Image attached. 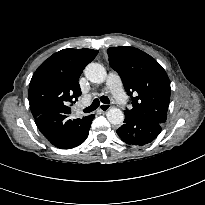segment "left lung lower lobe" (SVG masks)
Wrapping results in <instances>:
<instances>
[{"label":"left lung lower lobe","instance_id":"0a47b994","mask_svg":"<svg viewBox=\"0 0 205 205\" xmlns=\"http://www.w3.org/2000/svg\"><path fill=\"white\" fill-rule=\"evenodd\" d=\"M116 132L125 143L142 146L157 137L161 132V124L125 114L124 124Z\"/></svg>","mask_w":205,"mask_h":205}]
</instances>
